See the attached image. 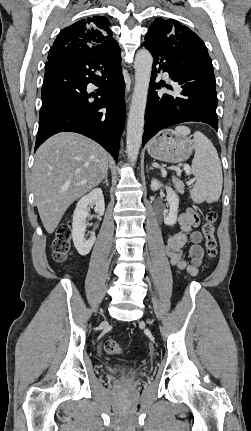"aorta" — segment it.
Wrapping results in <instances>:
<instances>
[{"label":"aorta","instance_id":"aorta-1","mask_svg":"<svg viewBox=\"0 0 251 431\" xmlns=\"http://www.w3.org/2000/svg\"><path fill=\"white\" fill-rule=\"evenodd\" d=\"M153 58L149 51L139 50L135 56V85L132 95L126 135V153L131 163L136 162L142 143L144 116Z\"/></svg>","mask_w":251,"mask_h":431}]
</instances>
